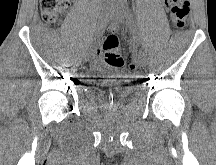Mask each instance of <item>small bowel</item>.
Here are the masks:
<instances>
[{
  "label": "small bowel",
  "mask_w": 216,
  "mask_h": 165,
  "mask_svg": "<svg viewBox=\"0 0 216 165\" xmlns=\"http://www.w3.org/2000/svg\"><path fill=\"white\" fill-rule=\"evenodd\" d=\"M98 55H99V52L96 53V57H98Z\"/></svg>",
  "instance_id": "c3829d8e"
}]
</instances>
